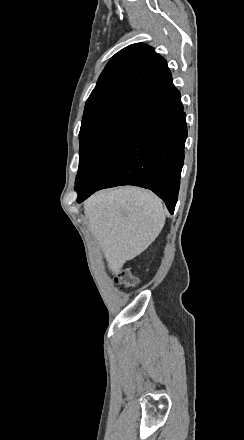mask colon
I'll return each instance as SVG.
<instances>
[{"label": "colon", "mask_w": 244, "mask_h": 440, "mask_svg": "<svg viewBox=\"0 0 244 440\" xmlns=\"http://www.w3.org/2000/svg\"><path fill=\"white\" fill-rule=\"evenodd\" d=\"M114 283L118 287L133 288L137 285L138 279L130 272H123L114 278Z\"/></svg>", "instance_id": "colon-1"}]
</instances>
